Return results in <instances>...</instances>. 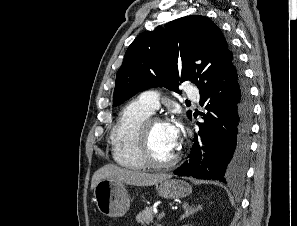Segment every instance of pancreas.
<instances>
[{"instance_id":"obj_1","label":"pancreas","mask_w":297,"mask_h":226,"mask_svg":"<svg viewBox=\"0 0 297 226\" xmlns=\"http://www.w3.org/2000/svg\"><path fill=\"white\" fill-rule=\"evenodd\" d=\"M154 213L152 207H146L136 216V221L142 225L153 222Z\"/></svg>"}]
</instances>
